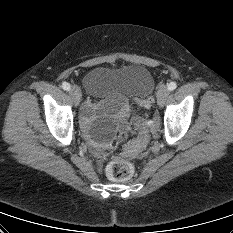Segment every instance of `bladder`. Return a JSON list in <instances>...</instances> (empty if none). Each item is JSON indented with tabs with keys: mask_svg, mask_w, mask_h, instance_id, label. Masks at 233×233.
<instances>
[{
	"mask_svg": "<svg viewBox=\"0 0 233 233\" xmlns=\"http://www.w3.org/2000/svg\"><path fill=\"white\" fill-rule=\"evenodd\" d=\"M83 85L88 95L102 100H146L155 88L151 72L132 64L120 68L95 67L89 70Z\"/></svg>",
	"mask_w": 233,
	"mask_h": 233,
	"instance_id": "1",
	"label": "bladder"
}]
</instances>
